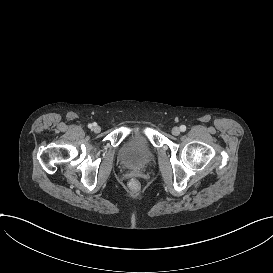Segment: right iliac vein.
Returning <instances> with one entry per match:
<instances>
[{"label":"right iliac vein","instance_id":"obj_1","mask_svg":"<svg viewBox=\"0 0 273 273\" xmlns=\"http://www.w3.org/2000/svg\"><path fill=\"white\" fill-rule=\"evenodd\" d=\"M93 131H94L95 133H99V132L101 131V128H100L98 125H95V126L93 127Z\"/></svg>","mask_w":273,"mask_h":273}]
</instances>
